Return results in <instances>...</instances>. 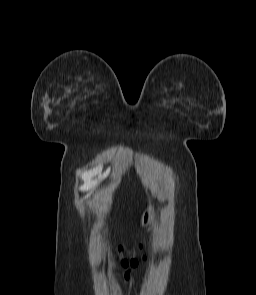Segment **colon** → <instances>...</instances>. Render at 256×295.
<instances>
[{"label":"colon","instance_id":"5ec220e1","mask_svg":"<svg viewBox=\"0 0 256 295\" xmlns=\"http://www.w3.org/2000/svg\"><path fill=\"white\" fill-rule=\"evenodd\" d=\"M118 251L120 253L125 252L123 248H119ZM122 263L125 264V265H127V264H133L134 265V264L138 263V259L137 258H131L130 260H128V259L125 258V259L122 260Z\"/></svg>","mask_w":256,"mask_h":295}]
</instances>
